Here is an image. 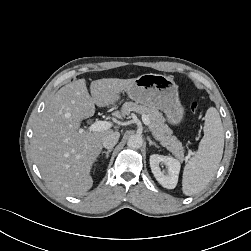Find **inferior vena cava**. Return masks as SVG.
Masks as SVG:
<instances>
[{
  "mask_svg": "<svg viewBox=\"0 0 251 251\" xmlns=\"http://www.w3.org/2000/svg\"><path fill=\"white\" fill-rule=\"evenodd\" d=\"M120 137L119 132H112L103 138L102 144L106 149H112L118 142Z\"/></svg>",
  "mask_w": 251,
  "mask_h": 251,
  "instance_id": "inferior-vena-cava-1",
  "label": "inferior vena cava"
}]
</instances>
